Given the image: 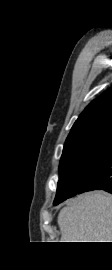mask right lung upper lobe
I'll return each instance as SVG.
<instances>
[{"label": "right lung upper lobe", "instance_id": "right-lung-upper-lobe-1", "mask_svg": "<svg viewBox=\"0 0 112 270\" xmlns=\"http://www.w3.org/2000/svg\"><path fill=\"white\" fill-rule=\"evenodd\" d=\"M104 124H112V88L85 108L74 123L66 140Z\"/></svg>", "mask_w": 112, "mask_h": 270}]
</instances>
